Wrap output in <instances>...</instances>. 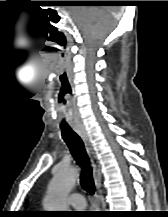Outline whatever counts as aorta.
<instances>
[{"label": "aorta", "mask_w": 168, "mask_h": 217, "mask_svg": "<svg viewBox=\"0 0 168 217\" xmlns=\"http://www.w3.org/2000/svg\"><path fill=\"white\" fill-rule=\"evenodd\" d=\"M77 172L74 168H61L49 183L44 208L46 211H68L67 196L75 185Z\"/></svg>", "instance_id": "aorta-1"}]
</instances>
